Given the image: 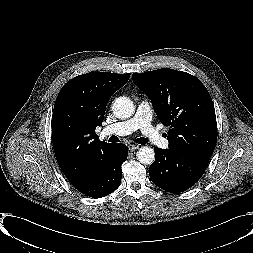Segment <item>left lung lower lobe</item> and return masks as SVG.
<instances>
[{
  "label": "left lung lower lobe",
  "mask_w": 253,
  "mask_h": 253,
  "mask_svg": "<svg viewBox=\"0 0 253 253\" xmlns=\"http://www.w3.org/2000/svg\"><path fill=\"white\" fill-rule=\"evenodd\" d=\"M155 162L149 168L152 182L161 189L180 193L193 186L203 174L210 155L154 148Z\"/></svg>",
  "instance_id": "1"
}]
</instances>
